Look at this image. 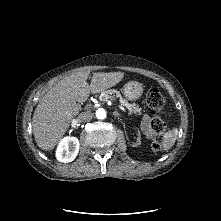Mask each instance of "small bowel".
I'll use <instances>...</instances> for the list:
<instances>
[{
	"instance_id": "1",
	"label": "small bowel",
	"mask_w": 221,
	"mask_h": 221,
	"mask_svg": "<svg viewBox=\"0 0 221 221\" xmlns=\"http://www.w3.org/2000/svg\"><path fill=\"white\" fill-rule=\"evenodd\" d=\"M149 123H150V117L148 115H144L143 118H142V127H143V130H144L145 134L148 137H151L152 136V131L149 128Z\"/></svg>"
}]
</instances>
